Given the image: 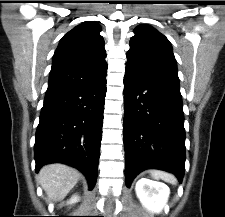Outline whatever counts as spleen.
<instances>
[{"mask_svg":"<svg viewBox=\"0 0 225 217\" xmlns=\"http://www.w3.org/2000/svg\"><path fill=\"white\" fill-rule=\"evenodd\" d=\"M150 173H151V176L156 180L162 179L165 182H169L171 184L176 183V178L168 172L161 171V170H152L150 171Z\"/></svg>","mask_w":225,"mask_h":217,"instance_id":"obj_1","label":"spleen"}]
</instances>
